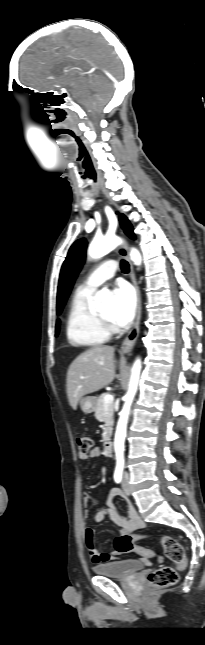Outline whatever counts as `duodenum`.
<instances>
[{"mask_svg":"<svg viewBox=\"0 0 205 645\" xmlns=\"http://www.w3.org/2000/svg\"><path fill=\"white\" fill-rule=\"evenodd\" d=\"M104 452H105V454L107 456H109V457L112 456V454H113V444H112V442L110 440H107L104 443Z\"/></svg>","mask_w":205,"mask_h":645,"instance_id":"obj_1","label":"duodenum"}]
</instances>
